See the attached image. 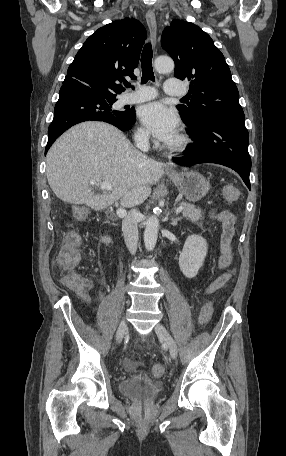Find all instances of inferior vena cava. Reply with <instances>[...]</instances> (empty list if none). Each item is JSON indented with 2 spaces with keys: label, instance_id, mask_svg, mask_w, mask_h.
<instances>
[{
  "label": "inferior vena cava",
  "instance_id": "602c4592",
  "mask_svg": "<svg viewBox=\"0 0 286 456\" xmlns=\"http://www.w3.org/2000/svg\"><path fill=\"white\" fill-rule=\"evenodd\" d=\"M135 144L143 152L149 150V137L147 133H139L135 136ZM138 211L133 209L122 221V231L124 235L125 244L131 254H135L138 243Z\"/></svg>",
  "mask_w": 286,
  "mask_h": 456
}]
</instances>
